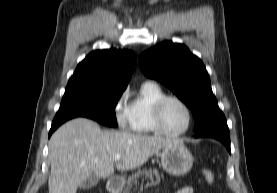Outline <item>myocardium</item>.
Wrapping results in <instances>:
<instances>
[{"instance_id":"myocardium-1","label":"myocardium","mask_w":277,"mask_h":193,"mask_svg":"<svg viewBox=\"0 0 277 193\" xmlns=\"http://www.w3.org/2000/svg\"><path fill=\"white\" fill-rule=\"evenodd\" d=\"M169 100L177 101L184 107V109L187 112V116H188L187 125L184 129H182L180 131H176V132L169 131L165 128V126L163 124L162 111H163V107H164L165 103ZM153 122H154V126H155L157 133L165 135V136H169V137H177V136H181L189 131V129L191 128L192 123H193V113H192L190 106L187 104V102L184 101L179 96L164 95L161 98H159L156 101V103L154 104Z\"/></svg>"}]
</instances>
